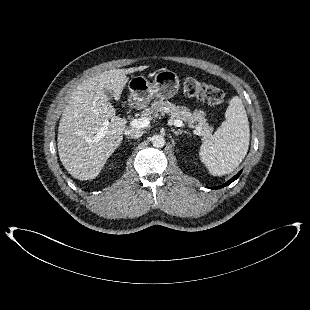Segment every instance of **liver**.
<instances>
[{"label": "liver", "mask_w": 310, "mask_h": 310, "mask_svg": "<svg viewBox=\"0 0 310 310\" xmlns=\"http://www.w3.org/2000/svg\"><path fill=\"white\" fill-rule=\"evenodd\" d=\"M145 68L99 73L82 81L71 93L60 119L57 146L60 161L74 178H96L122 142L125 121L116 116L105 89L113 91L119 99L128 82L126 75ZM102 127L107 128L106 133L96 139Z\"/></svg>", "instance_id": "1"}]
</instances>
